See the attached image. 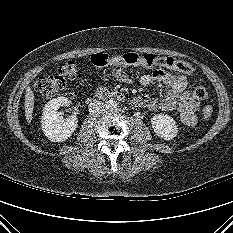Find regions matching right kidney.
<instances>
[{
	"instance_id": "ca27d5eb",
	"label": "right kidney",
	"mask_w": 233,
	"mask_h": 233,
	"mask_svg": "<svg viewBox=\"0 0 233 233\" xmlns=\"http://www.w3.org/2000/svg\"><path fill=\"white\" fill-rule=\"evenodd\" d=\"M71 101L66 97H58L47 102L43 109L41 126L46 137L52 142H61L68 139L78 126L76 115L64 120L59 116L60 106H67Z\"/></svg>"
}]
</instances>
